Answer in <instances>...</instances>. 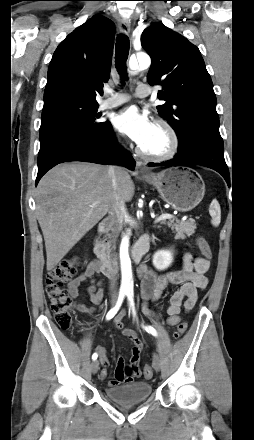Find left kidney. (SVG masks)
Wrapping results in <instances>:
<instances>
[{"mask_svg":"<svg viewBox=\"0 0 254 440\" xmlns=\"http://www.w3.org/2000/svg\"><path fill=\"white\" fill-rule=\"evenodd\" d=\"M152 262L157 270H165L173 262V253L170 250H159L153 255Z\"/></svg>","mask_w":254,"mask_h":440,"instance_id":"5707ae66","label":"left kidney"}]
</instances>
